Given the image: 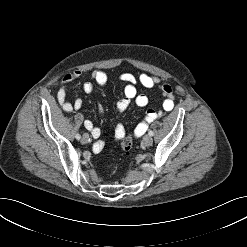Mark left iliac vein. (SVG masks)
Wrapping results in <instances>:
<instances>
[{"label": "left iliac vein", "mask_w": 247, "mask_h": 247, "mask_svg": "<svg viewBox=\"0 0 247 247\" xmlns=\"http://www.w3.org/2000/svg\"><path fill=\"white\" fill-rule=\"evenodd\" d=\"M142 143H143L144 146L149 147V146L152 145L153 139H152L151 136L145 135V136L143 137V139H142Z\"/></svg>", "instance_id": "4c4485c4"}]
</instances>
